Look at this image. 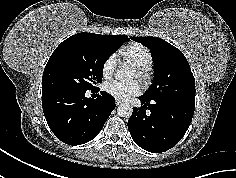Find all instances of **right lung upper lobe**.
<instances>
[{
	"label": "right lung upper lobe",
	"instance_id": "1",
	"mask_svg": "<svg viewBox=\"0 0 236 178\" xmlns=\"http://www.w3.org/2000/svg\"><path fill=\"white\" fill-rule=\"evenodd\" d=\"M70 38H92V39H101V40H128L127 35H100V34H94V33H78L76 35L71 36ZM126 40V41H127Z\"/></svg>",
	"mask_w": 236,
	"mask_h": 178
}]
</instances>
